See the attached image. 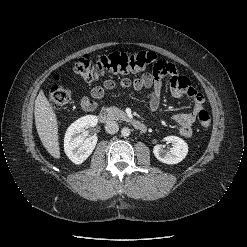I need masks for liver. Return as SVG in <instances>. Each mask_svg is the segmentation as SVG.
I'll return each instance as SVG.
<instances>
[{
    "mask_svg": "<svg viewBox=\"0 0 247 247\" xmlns=\"http://www.w3.org/2000/svg\"><path fill=\"white\" fill-rule=\"evenodd\" d=\"M34 116L36 129L43 146L52 157L59 159L57 117L43 90H40L35 100Z\"/></svg>",
    "mask_w": 247,
    "mask_h": 247,
    "instance_id": "1",
    "label": "liver"
}]
</instances>
